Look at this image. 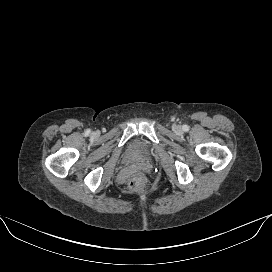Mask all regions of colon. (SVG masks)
<instances>
[{"label":"colon","mask_w":272,"mask_h":272,"mask_svg":"<svg viewBox=\"0 0 272 272\" xmlns=\"http://www.w3.org/2000/svg\"><path fill=\"white\" fill-rule=\"evenodd\" d=\"M128 186L133 191H144L148 187V182L142 173H135L130 177Z\"/></svg>","instance_id":"colon-1"}]
</instances>
